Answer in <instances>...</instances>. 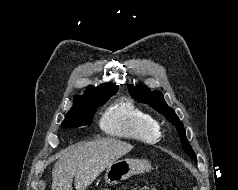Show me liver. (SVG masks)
<instances>
[{"label": "liver", "mask_w": 238, "mask_h": 190, "mask_svg": "<svg viewBox=\"0 0 238 190\" xmlns=\"http://www.w3.org/2000/svg\"><path fill=\"white\" fill-rule=\"evenodd\" d=\"M133 145L102 138L64 150L52 170V190H85L109 165L129 153Z\"/></svg>", "instance_id": "1"}]
</instances>
